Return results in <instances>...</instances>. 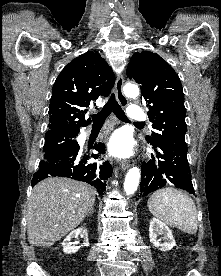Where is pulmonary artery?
I'll use <instances>...</instances> for the list:
<instances>
[{
    "label": "pulmonary artery",
    "instance_id": "pulmonary-artery-1",
    "mask_svg": "<svg viewBox=\"0 0 221 276\" xmlns=\"http://www.w3.org/2000/svg\"><path fill=\"white\" fill-rule=\"evenodd\" d=\"M128 116L133 121H142L145 119V112L140 106L131 105L128 109Z\"/></svg>",
    "mask_w": 221,
    "mask_h": 276
}]
</instances>
